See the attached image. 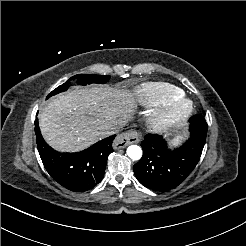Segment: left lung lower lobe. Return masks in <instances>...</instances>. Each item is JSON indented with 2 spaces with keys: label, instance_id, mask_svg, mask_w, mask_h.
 <instances>
[{
  "label": "left lung lower lobe",
  "instance_id": "left-lung-lower-lobe-1",
  "mask_svg": "<svg viewBox=\"0 0 246 246\" xmlns=\"http://www.w3.org/2000/svg\"><path fill=\"white\" fill-rule=\"evenodd\" d=\"M190 138L171 150L158 135L147 134L142 141L143 156L133 166L138 181L154 191H167L182 183L196 167L206 141L208 126L202 115L190 119Z\"/></svg>",
  "mask_w": 246,
  "mask_h": 246
}]
</instances>
